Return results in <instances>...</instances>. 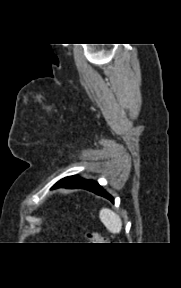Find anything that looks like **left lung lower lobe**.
I'll return each mask as SVG.
<instances>
[{"label":"left lung lower lobe","instance_id":"0a47b994","mask_svg":"<svg viewBox=\"0 0 181 288\" xmlns=\"http://www.w3.org/2000/svg\"><path fill=\"white\" fill-rule=\"evenodd\" d=\"M57 187H65V188H80V189H86L91 192H94L97 195L103 196L107 199H109L111 202H114L113 197L108 194L96 181L93 180H82L76 184L72 185H60V183H56L53 188Z\"/></svg>","mask_w":181,"mask_h":288}]
</instances>
